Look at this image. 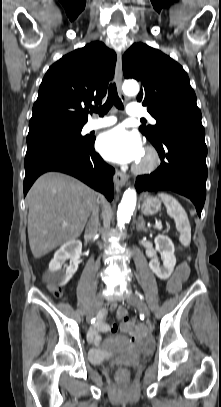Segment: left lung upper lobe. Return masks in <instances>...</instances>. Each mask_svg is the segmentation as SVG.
I'll return each mask as SVG.
<instances>
[{
    "label": "left lung upper lobe",
    "mask_w": 221,
    "mask_h": 407,
    "mask_svg": "<svg viewBox=\"0 0 221 407\" xmlns=\"http://www.w3.org/2000/svg\"><path fill=\"white\" fill-rule=\"evenodd\" d=\"M122 67L125 78L142 83L137 101L147 105L148 112L157 121L155 126L139 128L150 141L157 140L162 129L175 122L201 123V112L188 75L169 56L137 43L123 55Z\"/></svg>",
    "instance_id": "1"
}]
</instances>
